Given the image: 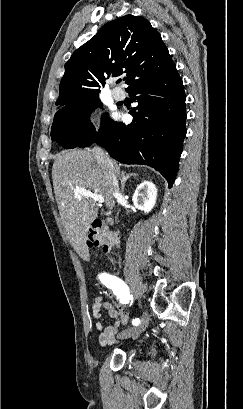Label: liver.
Listing matches in <instances>:
<instances>
[{
  "label": "liver",
  "mask_w": 243,
  "mask_h": 409,
  "mask_svg": "<svg viewBox=\"0 0 243 409\" xmlns=\"http://www.w3.org/2000/svg\"><path fill=\"white\" fill-rule=\"evenodd\" d=\"M112 163L114 174L120 177V166L115 161ZM52 179L66 236L80 253L86 249L87 233L98 215V206L90 198L75 196L74 190L82 187L102 195L106 207L113 209L115 201L109 170L97 161L93 152L75 149L63 151L56 157L52 167Z\"/></svg>",
  "instance_id": "1"
}]
</instances>
